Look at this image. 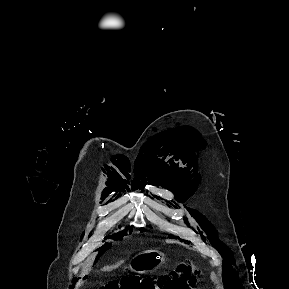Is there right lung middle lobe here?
Listing matches in <instances>:
<instances>
[{"mask_svg":"<svg viewBox=\"0 0 289 289\" xmlns=\"http://www.w3.org/2000/svg\"><path fill=\"white\" fill-rule=\"evenodd\" d=\"M124 233H126V232L123 231V235H124ZM121 237H122L121 233H117V234L112 235V236H110V237H108V238L116 239V238H121Z\"/></svg>","mask_w":289,"mask_h":289,"instance_id":"right-lung-middle-lobe-1","label":"right lung middle lobe"}]
</instances>
